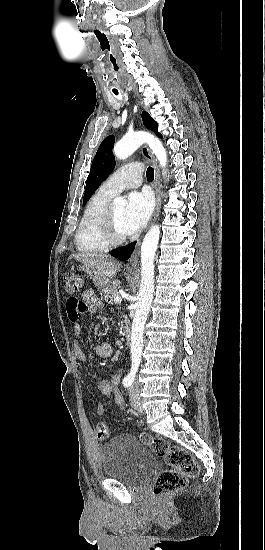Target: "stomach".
Returning <instances> with one entry per match:
<instances>
[{
    "label": "stomach",
    "instance_id": "stomach-1",
    "mask_svg": "<svg viewBox=\"0 0 265 550\" xmlns=\"http://www.w3.org/2000/svg\"><path fill=\"white\" fill-rule=\"evenodd\" d=\"M78 269L88 273L91 276H93L95 281H96L97 286H99L100 288H105L109 284V281L101 279L100 277H98L89 267L85 266L84 264L79 265Z\"/></svg>",
    "mask_w": 265,
    "mask_h": 550
}]
</instances>
